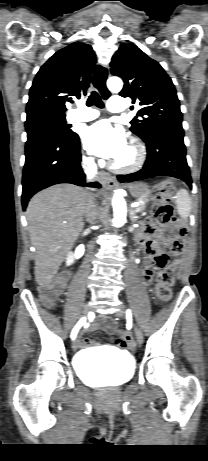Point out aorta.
<instances>
[{
  "mask_svg": "<svg viewBox=\"0 0 208 461\" xmlns=\"http://www.w3.org/2000/svg\"><path fill=\"white\" fill-rule=\"evenodd\" d=\"M107 87L110 91L117 93L121 91L123 83L118 77H110L107 81ZM122 195L123 190L117 189L114 191L112 206L114 214L113 225L115 227H121L126 222L127 207Z\"/></svg>",
  "mask_w": 208,
  "mask_h": 461,
  "instance_id": "1",
  "label": "aorta"
}]
</instances>
